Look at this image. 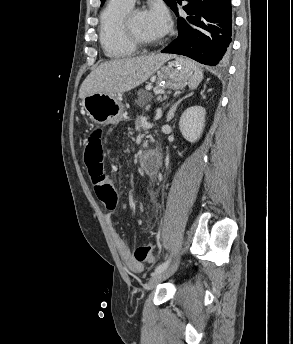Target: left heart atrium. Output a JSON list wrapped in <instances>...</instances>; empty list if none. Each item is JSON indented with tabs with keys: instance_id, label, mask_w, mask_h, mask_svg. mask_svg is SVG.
I'll return each mask as SVG.
<instances>
[{
	"instance_id": "obj_1",
	"label": "left heart atrium",
	"mask_w": 293,
	"mask_h": 344,
	"mask_svg": "<svg viewBox=\"0 0 293 344\" xmlns=\"http://www.w3.org/2000/svg\"><path fill=\"white\" fill-rule=\"evenodd\" d=\"M145 14L150 27L159 36H163L169 31L171 19L163 5L154 4Z\"/></svg>"
}]
</instances>
